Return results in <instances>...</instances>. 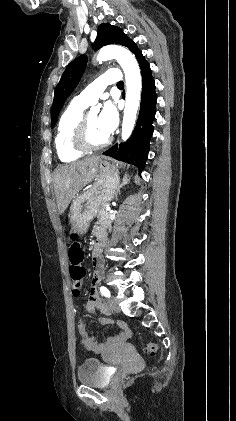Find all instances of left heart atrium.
<instances>
[{"mask_svg": "<svg viewBox=\"0 0 236 421\" xmlns=\"http://www.w3.org/2000/svg\"><path fill=\"white\" fill-rule=\"evenodd\" d=\"M100 125L103 130L109 135L118 125V114L112 102H107L103 111L99 115Z\"/></svg>", "mask_w": 236, "mask_h": 421, "instance_id": "left-heart-atrium-1", "label": "left heart atrium"}]
</instances>
